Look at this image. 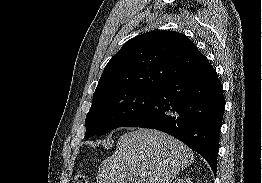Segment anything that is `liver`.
Returning a JSON list of instances; mask_svg holds the SVG:
<instances>
[{"mask_svg": "<svg viewBox=\"0 0 262 183\" xmlns=\"http://www.w3.org/2000/svg\"><path fill=\"white\" fill-rule=\"evenodd\" d=\"M193 162V151L181 141L139 128L119 137L114 154L99 167L97 183H171Z\"/></svg>", "mask_w": 262, "mask_h": 183, "instance_id": "6515ba94", "label": "liver"}]
</instances>
